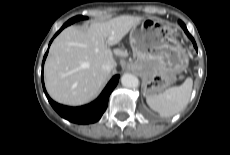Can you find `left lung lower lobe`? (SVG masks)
<instances>
[{"label": "left lung lower lobe", "mask_w": 230, "mask_h": 155, "mask_svg": "<svg viewBox=\"0 0 230 155\" xmlns=\"http://www.w3.org/2000/svg\"><path fill=\"white\" fill-rule=\"evenodd\" d=\"M179 23H180V21H179ZM181 27L184 29V31H185V33L187 34V36H188V37L191 39V41L193 42V45H194L195 49L198 50V49H197V45H196V43H195V40H194V38L191 36V34L188 32V30H187L185 24H183Z\"/></svg>", "instance_id": "obj_1"}]
</instances>
